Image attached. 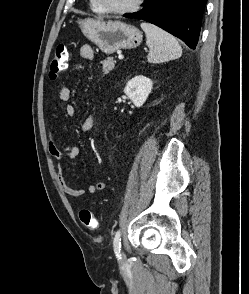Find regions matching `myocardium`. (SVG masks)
Returning a JSON list of instances; mask_svg holds the SVG:
<instances>
[{"label":"myocardium","instance_id":"1","mask_svg":"<svg viewBox=\"0 0 249 294\" xmlns=\"http://www.w3.org/2000/svg\"><path fill=\"white\" fill-rule=\"evenodd\" d=\"M96 4L98 7L101 9L102 13H107V14H114V15H124L131 13L133 11H136L144 2V0H134L131 4L124 8L120 9H115V8H110L105 5H103L101 0H95Z\"/></svg>","mask_w":249,"mask_h":294}]
</instances>
